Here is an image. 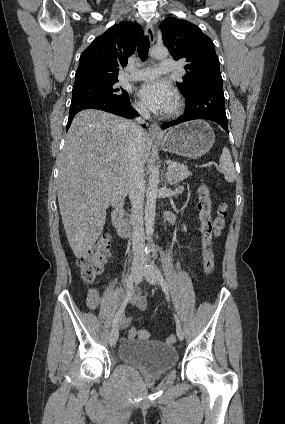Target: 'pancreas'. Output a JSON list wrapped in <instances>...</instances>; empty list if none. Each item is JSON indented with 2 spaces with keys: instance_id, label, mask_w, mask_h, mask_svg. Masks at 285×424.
Segmentation results:
<instances>
[{
  "instance_id": "cf45deb5",
  "label": "pancreas",
  "mask_w": 285,
  "mask_h": 424,
  "mask_svg": "<svg viewBox=\"0 0 285 424\" xmlns=\"http://www.w3.org/2000/svg\"><path fill=\"white\" fill-rule=\"evenodd\" d=\"M191 175V172L188 170L187 166L181 163H178L167 173V179L170 185H175L180 181H183Z\"/></svg>"
}]
</instances>
